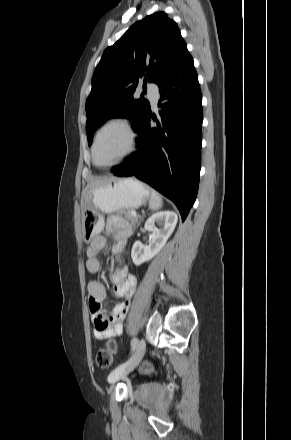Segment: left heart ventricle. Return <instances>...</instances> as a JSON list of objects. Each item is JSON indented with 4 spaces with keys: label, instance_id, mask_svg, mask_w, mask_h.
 Masks as SVG:
<instances>
[{
    "label": "left heart ventricle",
    "instance_id": "1",
    "mask_svg": "<svg viewBox=\"0 0 291 440\" xmlns=\"http://www.w3.org/2000/svg\"><path fill=\"white\" fill-rule=\"evenodd\" d=\"M127 149V135L118 128L106 130L99 138L95 160L98 164H107L118 160Z\"/></svg>",
    "mask_w": 291,
    "mask_h": 440
}]
</instances>
